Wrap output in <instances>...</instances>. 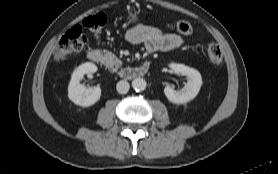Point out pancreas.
Segmentation results:
<instances>
[{"label": "pancreas", "instance_id": "obj_1", "mask_svg": "<svg viewBox=\"0 0 278 174\" xmlns=\"http://www.w3.org/2000/svg\"><path fill=\"white\" fill-rule=\"evenodd\" d=\"M104 62L107 67L112 68L113 70H117L122 65V62L117 60L116 56L112 52H105ZM115 64L116 67L113 68Z\"/></svg>", "mask_w": 278, "mask_h": 174}]
</instances>
